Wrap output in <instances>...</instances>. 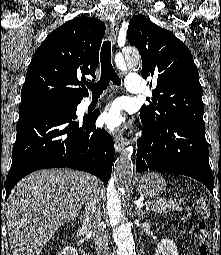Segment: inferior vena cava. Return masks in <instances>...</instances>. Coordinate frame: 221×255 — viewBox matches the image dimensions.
I'll use <instances>...</instances> for the list:
<instances>
[{
    "mask_svg": "<svg viewBox=\"0 0 221 255\" xmlns=\"http://www.w3.org/2000/svg\"><path fill=\"white\" fill-rule=\"evenodd\" d=\"M85 200L84 224L92 229L97 255H111L109 236L101 223V193L98 184L89 188Z\"/></svg>",
    "mask_w": 221,
    "mask_h": 255,
    "instance_id": "inferior-vena-cava-1",
    "label": "inferior vena cava"
}]
</instances>
